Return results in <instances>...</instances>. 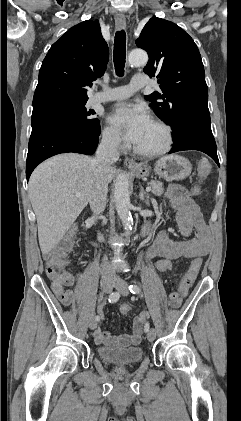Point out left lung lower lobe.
I'll list each match as a JSON object with an SVG mask.
<instances>
[{
    "mask_svg": "<svg viewBox=\"0 0 241 421\" xmlns=\"http://www.w3.org/2000/svg\"><path fill=\"white\" fill-rule=\"evenodd\" d=\"M173 141L175 144L169 153L198 150L208 154L219 165L216 143L211 131L210 115L193 119L184 132Z\"/></svg>",
    "mask_w": 241,
    "mask_h": 421,
    "instance_id": "obj_1",
    "label": "left lung lower lobe"
}]
</instances>
